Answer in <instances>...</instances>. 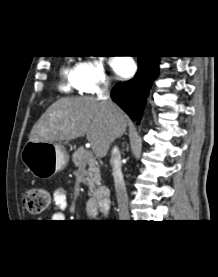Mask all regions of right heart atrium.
Instances as JSON below:
<instances>
[{"label": "right heart atrium", "mask_w": 218, "mask_h": 277, "mask_svg": "<svg viewBox=\"0 0 218 277\" xmlns=\"http://www.w3.org/2000/svg\"><path fill=\"white\" fill-rule=\"evenodd\" d=\"M77 89L83 93H93L105 89L109 85V77L101 58L92 57L77 66L75 78Z\"/></svg>", "instance_id": "1"}]
</instances>
